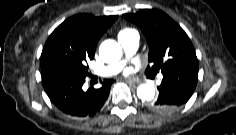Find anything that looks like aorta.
Wrapping results in <instances>:
<instances>
[{
  "mask_svg": "<svg viewBox=\"0 0 236 135\" xmlns=\"http://www.w3.org/2000/svg\"><path fill=\"white\" fill-rule=\"evenodd\" d=\"M99 56L106 63L118 61L122 56V48L119 43L114 40H105L99 47ZM137 96L142 101H151L155 96V88L152 84H141L137 88Z\"/></svg>",
  "mask_w": 236,
  "mask_h": 135,
  "instance_id": "762f6f07",
  "label": "aorta"
}]
</instances>
